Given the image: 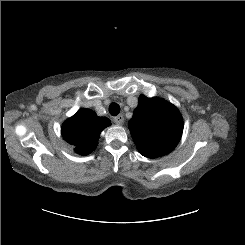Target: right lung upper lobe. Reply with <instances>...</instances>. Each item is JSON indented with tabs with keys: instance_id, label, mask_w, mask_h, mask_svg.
<instances>
[{
	"instance_id": "obj_1",
	"label": "right lung upper lobe",
	"mask_w": 245,
	"mask_h": 245,
	"mask_svg": "<svg viewBox=\"0 0 245 245\" xmlns=\"http://www.w3.org/2000/svg\"><path fill=\"white\" fill-rule=\"evenodd\" d=\"M110 124L108 118L82 108L63 123L62 136L74 145L76 153L87 155L96 148L101 131Z\"/></svg>"
}]
</instances>
